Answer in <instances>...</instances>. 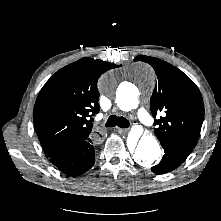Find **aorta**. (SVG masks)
<instances>
[{"instance_id": "1", "label": "aorta", "mask_w": 221, "mask_h": 221, "mask_svg": "<svg viewBox=\"0 0 221 221\" xmlns=\"http://www.w3.org/2000/svg\"><path fill=\"white\" fill-rule=\"evenodd\" d=\"M135 70L142 77L148 80H154L155 74L153 68L145 63H138L135 65ZM114 86V79L110 76L103 77L101 80V87L105 92H110ZM116 103L122 111H129L137 108L138 93L134 87H129L123 90H117ZM161 156V149L158 141L153 136H141L137 147L133 154V159L139 165L144 167L150 166L156 162Z\"/></svg>"}]
</instances>
